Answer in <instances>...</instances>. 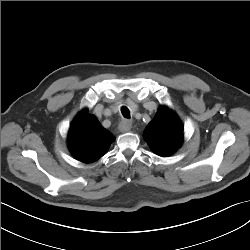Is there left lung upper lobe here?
<instances>
[{"instance_id": "1", "label": "left lung upper lobe", "mask_w": 250, "mask_h": 250, "mask_svg": "<svg viewBox=\"0 0 250 250\" xmlns=\"http://www.w3.org/2000/svg\"><path fill=\"white\" fill-rule=\"evenodd\" d=\"M144 138L156 154L169 156L183 141V125L173 111L161 106L145 128Z\"/></svg>"}]
</instances>
